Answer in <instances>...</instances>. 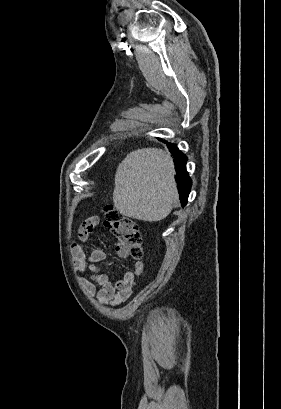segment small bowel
<instances>
[{
  "label": "small bowel",
  "mask_w": 281,
  "mask_h": 409,
  "mask_svg": "<svg viewBox=\"0 0 281 409\" xmlns=\"http://www.w3.org/2000/svg\"><path fill=\"white\" fill-rule=\"evenodd\" d=\"M102 217L100 215H89L87 222L80 223L81 240L87 241L88 235H97L98 228L95 224H100ZM114 250L121 256H126V251L121 244H115ZM73 264L76 270H86L89 273L90 280L81 278L84 288L91 294L96 295L98 300L104 304L117 305L126 301L131 293L135 283L136 275L143 270L141 262L136 263L134 270L127 271L124 276L115 282L111 281L100 269L96 263L105 258V252L102 248L96 247L87 254L83 247L74 242L72 244ZM96 285L99 289H96Z\"/></svg>",
  "instance_id": "small-bowel-1"
}]
</instances>
